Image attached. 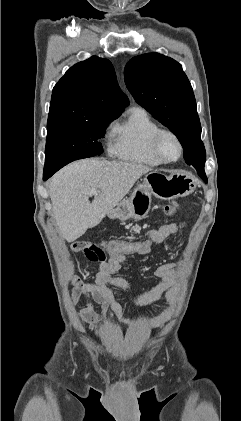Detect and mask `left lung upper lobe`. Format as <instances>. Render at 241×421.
Returning <instances> with one entry per match:
<instances>
[{
	"label": "left lung upper lobe",
	"mask_w": 241,
	"mask_h": 421,
	"mask_svg": "<svg viewBox=\"0 0 241 421\" xmlns=\"http://www.w3.org/2000/svg\"><path fill=\"white\" fill-rule=\"evenodd\" d=\"M124 76L136 102L179 139L186 163L204 169L206 152L197 105L181 64L162 54H143L127 63Z\"/></svg>",
	"instance_id": "1"
}]
</instances>
